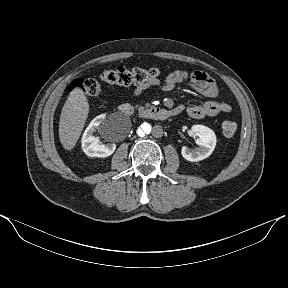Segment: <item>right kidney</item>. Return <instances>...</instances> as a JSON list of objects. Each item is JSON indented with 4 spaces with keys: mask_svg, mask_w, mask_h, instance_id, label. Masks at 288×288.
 I'll return each instance as SVG.
<instances>
[{
    "mask_svg": "<svg viewBox=\"0 0 288 288\" xmlns=\"http://www.w3.org/2000/svg\"><path fill=\"white\" fill-rule=\"evenodd\" d=\"M102 116L94 118L86 128L82 136V150L89 157L105 158L112 155L116 149L115 144H103L98 137L94 135L96 129L103 130Z\"/></svg>",
    "mask_w": 288,
    "mask_h": 288,
    "instance_id": "1",
    "label": "right kidney"
}]
</instances>
